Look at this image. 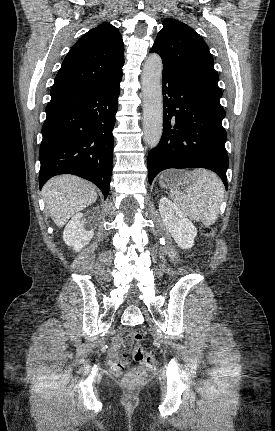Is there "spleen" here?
Segmentation results:
<instances>
[{
  "label": "spleen",
  "mask_w": 275,
  "mask_h": 431,
  "mask_svg": "<svg viewBox=\"0 0 275 431\" xmlns=\"http://www.w3.org/2000/svg\"><path fill=\"white\" fill-rule=\"evenodd\" d=\"M186 176L192 183L185 189L171 188L170 196L179 209L194 221L213 225L219 216L224 198V186L216 174L206 169H195Z\"/></svg>",
  "instance_id": "3e777b00"
}]
</instances>
